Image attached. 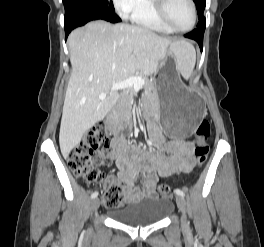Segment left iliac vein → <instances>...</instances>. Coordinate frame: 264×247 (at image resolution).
Returning <instances> with one entry per match:
<instances>
[{
	"label": "left iliac vein",
	"instance_id": "1",
	"mask_svg": "<svg viewBox=\"0 0 264 247\" xmlns=\"http://www.w3.org/2000/svg\"><path fill=\"white\" fill-rule=\"evenodd\" d=\"M176 203L180 211L182 212V226L183 228L188 227V222L186 218V201L185 198L181 195L176 196Z\"/></svg>",
	"mask_w": 264,
	"mask_h": 247
}]
</instances>
